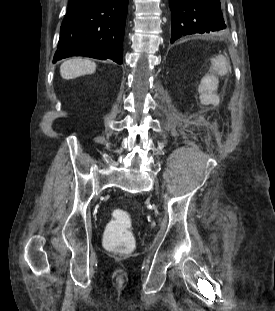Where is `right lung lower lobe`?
Wrapping results in <instances>:
<instances>
[{
	"label": "right lung lower lobe",
	"mask_w": 275,
	"mask_h": 311,
	"mask_svg": "<svg viewBox=\"0 0 275 311\" xmlns=\"http://www.w3.org/2000/svg\"><path fill=\"white\" fill-rule=\"evenodd\" d=\"M128 0H70L53 63L70 56L122 64Z\"/></svg>",
	"instance_id": "obj_1"
}]
</instances>
